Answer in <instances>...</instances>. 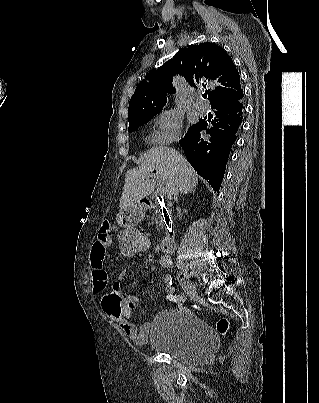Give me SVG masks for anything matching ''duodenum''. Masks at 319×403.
<instances>
[{
	"label": "duodenum",
	"mask_w": 319,
	"mask_h": 403,
	"mask_svg": "<svg viewBox=\"0 0 319 403\" xmlns=\"http://www.w3.org/2000/svg\"><path fill=\"white\" fill-rule=\"evenodd\" d=\"M141 207L143 209H153L155 207L167 208V202L165 198L161 194H159L153 201L150 200L143 201ZM161 246L162 249L167 253L174 251L175 237H174V230L172 228H168L167 234L164 236Z\"/></svg>",
	"instance_id": "1"
}]
</instances>
